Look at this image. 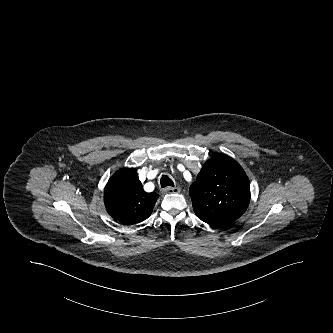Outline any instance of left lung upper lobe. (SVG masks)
Instances as JSON below:
<instances>
[{
    "label": "left lung upper lobe",
    "instance_id": "5c2ea615",
    "mask_svg": "<svg viewBox=\"0 0 333 333\" xmlns=\"http://www.w3.org/2000/svg\"><path fill=\"white\" fill-rule=\"evenodd\" d=\"M189 194L197 217L221 227L237 220L248 208L250 182L234 159L218 154L205 162Z\"/></svg>",
    "mask_w": 333,
    "mask_h": 333
}]
</instances>
